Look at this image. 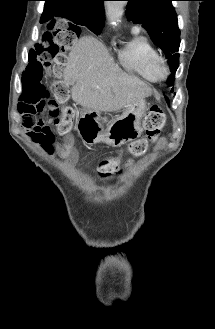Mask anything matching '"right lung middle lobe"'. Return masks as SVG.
<instances>
[{"mask_svg": "<svg viewBox=\"0 0 215 329\" xmlns=\"http://www.w3.org/2000/svg\"><path fill=\"white\" fill-rule=\"evenodd\" d=\"M52 13V12H51ZM49 13V14H51ZM67 19L73 22L70 23V29L75 31L78 35L80 34L81 30L78 25L81 26H86L89 30H91L93 33L99 35L103 29V24L102 23H92V22H86L83 20L79 15H68Z\"/></svg>", "mask_w": 215, "mask_h": 329, "instance_id": "right-lung-middle-lobe-1", "label": "right lung middle lobe"}]
</instances>
